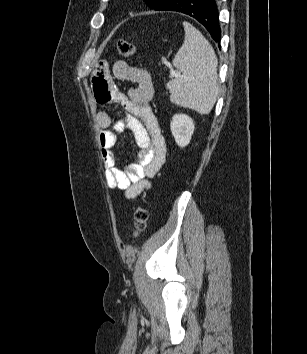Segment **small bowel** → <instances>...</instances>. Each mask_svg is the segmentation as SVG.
I'll use <instances>...</instances> for the list:
<instances>
[{
	"mask_svg": "<svg viewBox=\"0 0 307 354\" xmlns=\"http://www.w3.org/2000/svg\"><path fill=\"white\" fill-rule=\"evenodd\" d=\"M112 73L114 78L135 83L136 87L126 93L120 91L110 77L107 63L103 61L97 65L93 77L97 103L104 105L112 101L115 107L123 108L121 118L114 122L106 111L97 113L105 180L110 188L124 190L127 199H134L150 188L149 179L164 165L166 141L149 104L154 95L149 72L118 61L113 65ZM124 131L132 132L138 152L134 161L122 170L117 166L113 149L117 133Z\"/></svg>",
	"mask_w": 307,
	"mask_h": 354,
	"instance_id": "c3829d8e",
	"label": "small bowel"
}]
</instances>
